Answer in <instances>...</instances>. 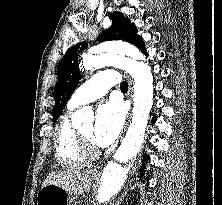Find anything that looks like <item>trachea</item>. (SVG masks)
I'll return each instance as SVG.
<instances>
[{
    "instance_id": "trachea-1",
    "label": "trachea",
    "mask_w": 222,
    "mask_h": 205,
    "mask_svg": "<svg viewBox=\"0 0 222 205\" xmlns=\"http://www.w3.org/2000/svg\"><path fill=\"white\" fill-rule=\"evenodd\" d=\"M120 88H121V90H127L128 89V83L125 82V81L121 82Z\"/></svg>"
}]
</instances>
